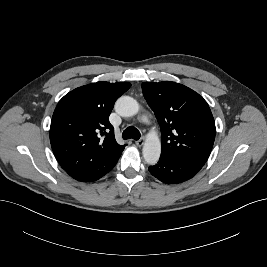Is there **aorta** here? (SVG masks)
<instances>
[{
    "label": "aorta",
    "mask_w": 267,
    "mask_h": 267,
    "mask_svg": "<svg viewBox=\"0 0 267 267\" xmlns=\"http://www.w3.org/2000/svg\"><path fill=\"white\" fill-rule=\"evenodd\" d=\"M115 111L122 117L134 116L139 111L138 102L130 96H122L115 103ZM144 160L149 165H155L161 154V142L157 134H150L142 149Z\"/></svg>",
    "instance_id": "1"
}]
</instances>
